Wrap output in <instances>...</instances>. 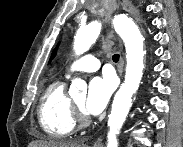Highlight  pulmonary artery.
Returning a JSON list of instances; mask_svg holds the SVG:
<instances>
[{
  "mask_svg": "<svg viewBox=\"0 0 183 147\" xmlns=\"http://www.w3.org/2000/svg\"><path fill=\"white\" fill-rule=\"evenodd\" d=\"M100 67V61L94 54H86L72 62L68 68L67 76L74 72H94Z\"/></svg>",
  "mask_w": 183,
  "mask_h": 147,
  "instance_id": "e3ab8cb5",
  "label": "pulmonary artery"
}]
</instances>
